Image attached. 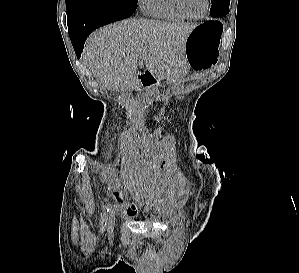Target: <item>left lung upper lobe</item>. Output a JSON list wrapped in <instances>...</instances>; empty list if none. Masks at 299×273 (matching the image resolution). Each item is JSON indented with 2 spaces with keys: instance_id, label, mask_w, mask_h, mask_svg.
I'll return each mask as SVG.
<instances>
[{
  "instance_id": "obj_1",
  "label": "left lung upper lobe",
  "mask_w": 299,
  "mask_h": 273,
  "mask_svg": "<svg viewBox=\"0 0 299 273\" xmlns=\"http://www.w3.org/2000/svg\"><path fill=\"white\" fill-rule=\"evenodd\" d=\"M211 3V16L221 17L229 13V0H211Z\"/></svg>"
}]
</instances>
